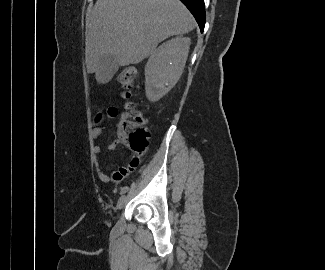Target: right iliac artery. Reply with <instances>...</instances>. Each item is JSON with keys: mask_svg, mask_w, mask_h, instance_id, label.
Here are the masks:
<instances>
[{"mask_svg": "<svg viewBox=\"0 0 325 270\" xmlns=\"http://www.w3.org/2000/svg\"><path fill=\"white\" fill-rule=\"evenodd\" d=\"M128 189H129L128 186H124V187L121 188V192L120 193L121 194H124V193H126L128 191Z\"/></svg>", "mask_w": 325, "mask_h": 270, "instance_id": "1", "label": "right iliac artery"}]
</instances>
